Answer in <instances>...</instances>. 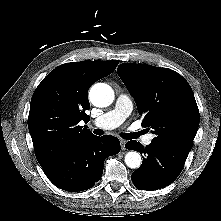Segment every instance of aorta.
I'll return each mask as SVG.
<instances>
[{
	"label": "aorta",
	"mask_w": 221,
	"mask_h": 221,
	"mask_svg": "<svg viewBox=\"0 0 221 221\" xmlns=\"http://www.w3.org/2000/svg\"><path fill=\"white\" fill-rule=\"evenodd\" d=\"M91 103L96 107H107L114 100V92L112 88L105 83H97L93 85L89 92ZM142 162L141 155L136 151H129L125 155V163L129 168L137 169Z\"/></svg>",
	"instance_id": "obj_1"
}]
</instances>
